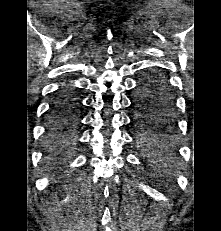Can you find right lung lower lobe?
I'll use <instances>...</instances> for the list:
<instances>
[{
	"label": "right lung lower lobe",
	"instance_id": "98d812e1",
	"mask_svg": "<svg viewBox=\"0 0 221 231\" xmlns=\"http://www.w3.org/2000/svg\"><path fill=\"white\" fill-rule=\"evenodd\" d=\"M56 100H59L65 103L66 102L73 103V104L75 103L78 105V97L72 92V90L69 87L63 88L59 92Z\"/></svg>",
	"mask_w": 221,
	"mask_h": 231
}]
</instances>
